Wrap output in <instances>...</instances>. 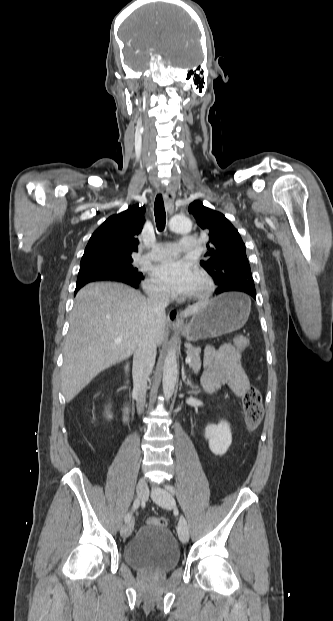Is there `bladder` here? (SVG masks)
I'll use <instances>...</instances> for the list:
<instances>
[{"label":"bladder","mask_w":333,"mask_h":621,"mask_svg":"<svg viewBox=\"0 0 333 621\" xmlns=\"http://www.w3.org/2000/svg\"><path fill=\"white\" fill-rule=\"evenodd\" d=\"M123 558L127 564L137 570L161 573L177 566L180 550L167 527L147 524L139 528L125 544Z\"/></svg>","instance_id":"31cf9c89"}]
</instances>
